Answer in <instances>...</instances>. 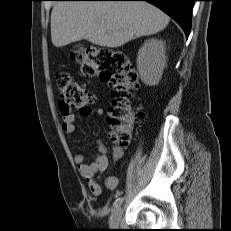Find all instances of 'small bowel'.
Returning <instances> with one entry per match:
<instances>
[{
  "label": "small bowel",
  "mask_w": 231,
  "mask_h": 231,
  "mask_svg": "<svg viewBox=\"0 0 231 231\" xmlns=\"http://www.w3.org/2000/svg\"><path fill=\"white\" fill-rule=\"evenodd\" d=\"M92 113L102 116L103 110L101 108H96L95 110H92L91 108H84L80 110V115L83 117H88ZM61 128L64 133L72 134L75 131V115L72 113L63 114ZM97 144L98 152L94 155L93 160L90 163L85 162V157L83 154L77 153L74 155V162L77 165L81 176L86 180L92 195L95 197L100 196L102 193V187L96 181L95 177L97 174L104 172L108 166L106 148L101 140H98ZM122 154L123 152L121 148H113L114 161H119ZM104 186L108 190L113 191L118 186V179L115 176H108L105 178Z\"/></svg>",
  "instance_id": "c3829d8e"
}]
</instances>
